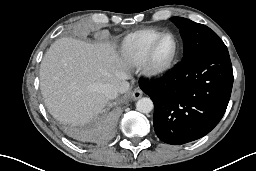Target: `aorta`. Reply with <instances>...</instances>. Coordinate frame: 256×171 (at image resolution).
Listing matches in <instances>:
<instances>
[{
    "label": "aorta",
    "mask_w": 256,
    "mask_h": 171,
    "mask_svg": "<svg viewBox=\"0 0 256 171\" xmlns=\"http://www.w3.org/2000/svg\"><path fill=\"white\" fill-rule=\"evenodd\" d=\"M154 105L150 98L143 97L136 103V108L141 113H149L152 111Z\"/></svg>",
    "instance_id": "aorta-1"
}]
</instances>
